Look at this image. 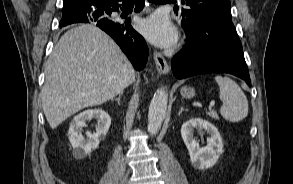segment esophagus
Here are the masks:
<instances>
[{
    "label": "esophagus",
    "mask_w": 293,
    "mask_h": 184,
    "mask_svg": "<svg viewBox=\"0 0 293 184\" xmlns=\"http://www.w3.org/2000/svg\"><path fill=\"white\" fill-rule=\"evenodd\" d=\"M153 60H154L156 69L160 74L169 73V70H170L169 65L161 53L155 51L153 53Z\"/></svg>",
    "instance_id": "1"
}]
</instances>
